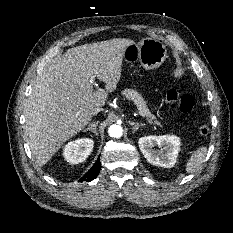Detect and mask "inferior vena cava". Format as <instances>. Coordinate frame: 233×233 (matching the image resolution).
I'll return each mask as SVG.
<instances>
[{
  "label": "inferior vena cava",
  "instance_id": "obj_1",
  "mask_svg": "<svg viewBox=\"0 0 233 233\" xmlns=\"http://www.w3.org/2000/svg\"><path fill=\"white\" fill-rule=\"evenodd\" d=\"M102 110H103L102 108L97 107V108L94 109V114H97V113H99Z\"/></svg>",
  "mask_w": 233,
  "mask_h": 233
}]
</instances>
